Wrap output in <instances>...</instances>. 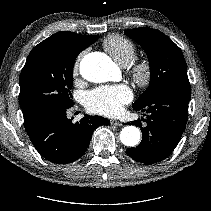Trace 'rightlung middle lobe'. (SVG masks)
<instances>
[{"label":"right lung middle lobe","instance_id":"1","mask_svg":"<svg viewBox=\"0 0 211 211\" xmlns=\"http://www.w3.org/2000/svg\"><path fill=\"white\" fill-rule=\"evenodd\" d=\"M78 52L58 53L44 42L33 48L20 74L19 103L26 116L46 106L73 105V66Z\"/></svg>","mask_w":211,"mask_h":211}]
</instances>
